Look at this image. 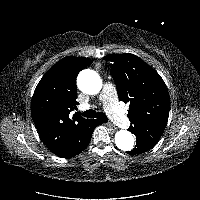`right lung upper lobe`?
Instances as JSON below:
<instances>
[{
  "label": "right lung upper lobe",
  "mask_w": 200,
  "mask_h": 200,
  "mask_svg": "<svg viewBox=\"0 0 200 200\" xmlns=\"http://www.w3.org/2000/svg\"><path fill=\"white\" fill-rule=\"evenodd\" d=\"M88 58L67 56L57 62L38 83L31 102V116L43 143L57 156H64L76 144L91 121L76 109L78 73L89 66Z\"/></svg>",
  "instance_id": "cb5924a9"
}]
</instances>
